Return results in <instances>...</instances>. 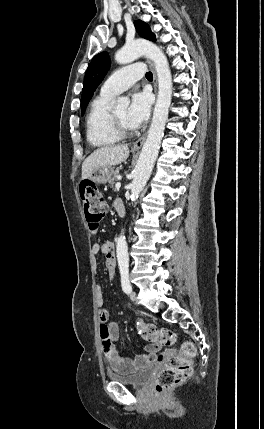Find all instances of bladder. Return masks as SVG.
I'll return each mask as SVG.
<instances>
[{"label":"bladder","instance_id":"obj_1","mask_svg":"<svg viewBox=\"0 0 264 429\" xmlns=\"http://www.w3.org/2000/svg\"><path fill=\"white\" fill-rule=\"evenodd\" d=\"M154 371H155V368L150 366L145 369H141L139 371H135L128 374L108 372L107 376L110 380L124 385L141 387L152 378Z\"/></svg>","mask_w":264,"mask_h":429}]
</instances>
